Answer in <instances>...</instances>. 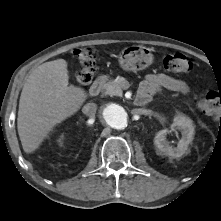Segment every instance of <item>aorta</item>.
Wrapping results in <instances>:
<instances>
[{
    "mask_svg": "<svg viewBox=\"0 0 221 221\" xmlns=\"http://www.w3.org/2000/svg\"><path fill=\"white\" fill-rule=\"evenodd\" d=\"M104 121L115 129H124L127 126V112L118 104H108L102 112Z\"/></svg>",
    "mask_w": 221,
    "mask_h": 221,
    "instance_id": "aorta-1",
    "label": "aorta"
}]
</instances>
